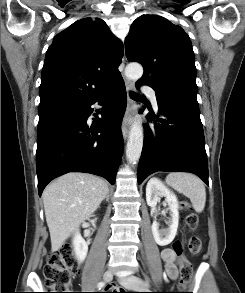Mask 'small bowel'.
Instances as JSON below:
<instances>
[{
    "label": "small bowel",
    "mask_w": 245,
    "mask_h": 293,
    "mask_svg": "<svg viewBox=\"0 0 245 293\" xmlns=\"http://www.w3.org/2000/svg\"><path fill=\"white\" fill-rule=\"evenodd\" d=\"M162 261L165 265V270L171 280H176L179 275V263L171 249L163 250L161 254Z\"/></svg>",
    "instance_id": "1"
}]
</instances>
